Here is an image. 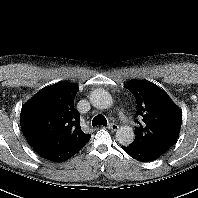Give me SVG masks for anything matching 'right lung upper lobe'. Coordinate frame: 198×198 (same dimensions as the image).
<instances>
[{
    "mask_svg": "<svg viewBox=\"0 0 198 198\" xmlns=\"http://www.w3.org/2000/svg\"><path fill=\"white\" fill-rule=\"evenodd\" d=\"M78 87L59 82L39 91L22 107L20 125L28 143L36 150L67 148L90 140L80 127L74 108Z\"/></svg>",
    "mask_w": 198,
    "mask_h": 198,
    "instance_id": "obj_1",
    "label": "right lung upper lobe"
}]
</instances>
